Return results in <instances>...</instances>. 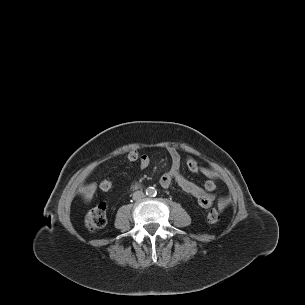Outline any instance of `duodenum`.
<instances>
[{"label":"duodenum","instance_id":"duodenum-1","mask_svg":"<svg viewBox=\"0 0 305 305\" xmlns=\"http://www.w3.org/2000/svg\"><path fill=\"white\" fill-rule=\"evenodd\" d=\"M139 187H141V185L138 184V183H135V184L133 185V188H139Z\"/></svg>","mask_w":305,"mask_h":305}]
</instances>
